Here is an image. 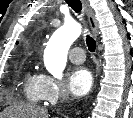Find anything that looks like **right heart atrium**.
Returning a JSON list of instances; mask_svg holds the SVG:
<instances>
[{"label":"right heart atrium","instance_id":"1","mask_svg":"<svg viewBox=\"0 0 133 118\" xmlns=\"http://www.w3.org/2000/svg\"><path fill=\"white\" fill-rule=\"evenodd\" d=\"M41 92L47 103H55L66 96L64 82L49 75H41Z\"/></svg>","mask_w":133,"mask_h":118}]
</instances>
